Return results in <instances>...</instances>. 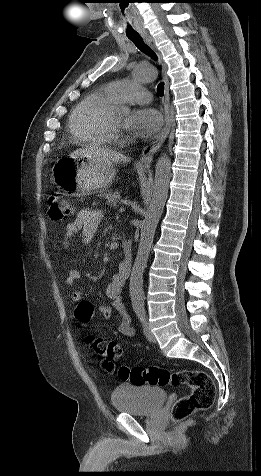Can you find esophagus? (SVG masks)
<instances>
[{"mask_svg": "<svg viewBox=\"0 0 261 476\" xmlns=\"http://www.w3.org/2000/svg\"><path fill=\"white\" fill-rule=\"evenodd\" d=\"M143 38L146 41V43L157 53L159 57L161 67H162V71H161L162 78L164 81V100H163L164 114H165L164 126L162 130L159 132V134L155 137V139L150 144L144 147L138 162L140 166L148 167L150 166L153 160L154 154L160 149V147L162 146V144L164 143V141L166 140L170 132L171 119H170V109H169V106H170L169 80L167 76L166 64L164 63L161 55L158 53L155 42L152 39V37L149 36L148 34H143Z\"/></svg>", "mask_w": 261, "mask_h": 476, "instance_id": "esophagus-1", "label": "esophagus"}]
</instances>
